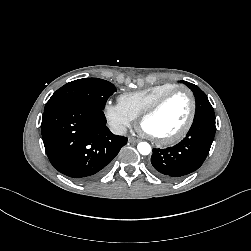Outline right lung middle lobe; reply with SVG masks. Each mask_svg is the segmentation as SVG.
Returning <instances> with one entry per match:
<instances>
[{
    "instance_id": "dd1d6c3e",
    "label": "right lung middle lobe",
    "mask_w": 251,
    "mask_h": 251,
    "mask_svg": "<svg viewBox=\"0 0 251 251\" xmlns=\"http://www.w3.org/2000/svg\"><path fill=\"white\" fill-rule=\"evenodd\" d=\"M115 91L112 83L102 79H78L58 89L47 102L45 109L61 104H80L103 109L107 99Z\"/></svg>"
}]
</instances>
